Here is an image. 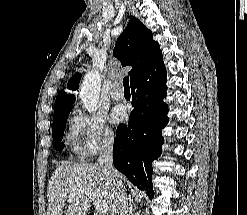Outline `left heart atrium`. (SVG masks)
Here are the masks:
<instances>
[{"mask_svg":"<svg viewBox=\"0 0 247 215\" xmlns=\"http://www.w3.org/2000/svg\"><path fill=\"white\" fill-rule=\"evenodd\" d=\"M125 117H126V111L122 106L114 107L110 116L111 121L113 123H120L125 119Z\"/></svg>","mask_w":247,"mask_h":215,"instance_id":"1","label":"left heart atrium"}]
</instances>
